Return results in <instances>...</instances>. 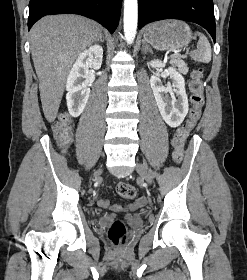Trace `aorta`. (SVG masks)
<instances>
[{"instance_id": "aorta-1", "label": "aorta", "mask_w": 247, "mask_h": 280, "mask_svg": "<svg viewBox=\"0 0 247 280\" xmlns=\"http://www.w3.org/2000/svg\"><path fill=\"white\" fill-rule=\"evenodd\" d=\"M138 0H124V35L128 44H132L137 30Z\"/></svg>"}]
</instances>
